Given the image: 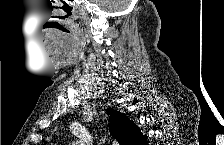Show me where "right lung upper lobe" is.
Instances as JSON below:
<instances>
[{"label":"right lung upper lobe","mask_w":224,"mask_h":145,"mask_svg":"<svg viewBox=\"0 0 224 145\" xmlns=\"http://www.w3.org/2000/svg\"><path fill=\"white\" fill-rule=\"evenodd\" d=\"M110 114V133L120 143V145H141L146 138L138 126L129 120L124 114L108 109Z\"/></svg>","instance_id":"obj_1"}]
</instances>
